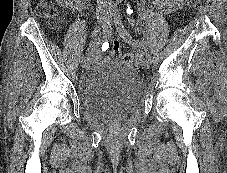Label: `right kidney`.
<instances>
[{"label": "right kidney", "instance_id": "obj_1", "mask_svg": "<svg viewBox=\"0 0 227 173\" xmlns=\"http://www.w3.org/2000/svg\"><path fill=\"white\" fill-rule=\"evenodd\" d=\"M57 1H59V4L61 6H66V7L71 6L73 2L75 3L81 2V0H57Z\"/></svg>", "mask_w": 227, "mask_h": 173}]
</instances>
